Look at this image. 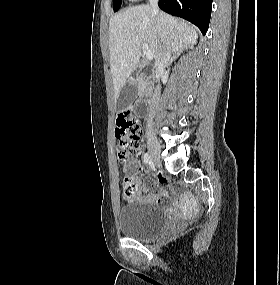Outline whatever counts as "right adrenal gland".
I'll list each match as a JSON object with an SVG mask.
<instances>
[{"label": "right adrenal gland", "mask_w": 280, "mask_h": 285, "mask_svg": "<svg viewBox=\"0 0 280 285\" xmlns=\"http://www.w3.org/2000/svg\"><path fill=\"white\" fill-rule=\"evenodd\" d=\"M176 58V54H173V56L171 57L170 61H169V64L168 65H171L173 60Z\"/></svg>", "instance_id": "right-adrenal-gland-1"}]
</instances>
